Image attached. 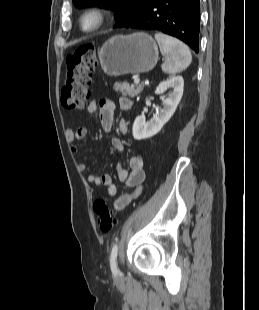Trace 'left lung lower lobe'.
<instances>
[{
	"label": "left lung lower lobe",
	"instance_id": "1",
	"mask_svg": "<svg viewBox=\"0 0 259 310\" xmlns=\"http://www.w3.org/2000/svg\"><path fill=\"white\" fill-rule=\"evenodd\" d=\"M199 0H152L118 27L161 31L199 51Z\"/></svg>",
	"mask_w": 259,
	"mask_h": 310
}]
</instances>
